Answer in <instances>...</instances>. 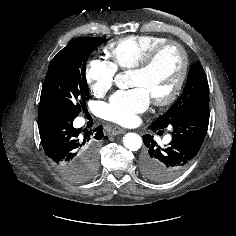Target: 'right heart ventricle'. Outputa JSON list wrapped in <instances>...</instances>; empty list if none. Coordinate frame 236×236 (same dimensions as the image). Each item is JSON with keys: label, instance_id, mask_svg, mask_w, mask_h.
Returning a JSON list of instances; mask_svg holds the SVG:
<instances>
[{"label": "right heart ventricle", "instance_id": "1", "mask_svg": "<svg viewBox=\"0 0 236 236\" xmlns=\"http://www.w3.org/2000/svg\"><path fill=\"white\" fill-rule=\"evenodd\" d=\"M168 40L161 35H129L110 42L104 51L116 69H130L139 64L151 49Z\"/></svg>", "mask_w": 236, "mask_h": 236}]
</instances>
